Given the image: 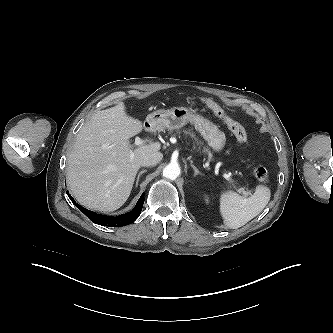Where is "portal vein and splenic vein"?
<instances>
[{
    "instance_id": "18ae733b",
    "label": "portal vein and splenic vein",
    "mask_w": 333,
    "mask_h": 333,
    "mask_svg": "<svg viewBox=\"0 0 333 333\" xmlns=\"http://www.w3.org/2000/svg\"><path fill=\"white\" fill-rule=\"evenodd\" d=\"M144 143V141L141 139V138H139V137H136L135 138V142H134V145L135 146H140V145H142ZM223 177L227 180V181H229V182H232V178H231V176H230V174H226V173H224L223 174ZM238 192L239 193H242L245 197L246 196H248V192H246L243 188H239L238 189Z\"/></svg>"
}]
</instances>
